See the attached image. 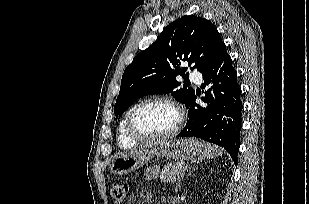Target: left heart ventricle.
Wrapping results in <instances>:
<instances>
[{"mask_svg": "<svg viewBox=\"0 0 309 204\" xmlns=\"http://www.w3.org/2000/svg\"><path fill=\"white\" fill-rule=\"evenodd\" d=\"M177 121L173 108L165 104L153 103L144 106L135 116V127L147 135H160L169 131Z\"/></svg>", "mask_w": 309, "mask_h": 204, "instance_id": "1", "label": "left heart ventricle"}]
</instances>
